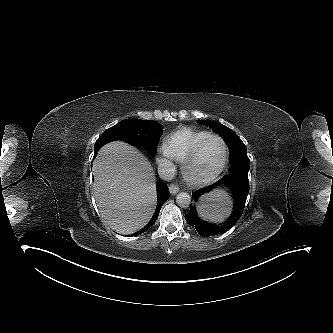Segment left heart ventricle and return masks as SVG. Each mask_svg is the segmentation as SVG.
<instances>
[{
  "label": "left heart ventricle",
  "mask_w": 333,
  "mask_h": 333,
  "mask_svg": "<svg viewBox=\"0 0 333 333\" xmlns=\"http://www.w3.org/2000/svg\"><path fill=\"white\" fill-rule=\"evenodd\" d=\"M223 156V144L217 139H211L203 146L198 157L191 163L190 172L196 177H207L220 166Z\"/></svg>",
  "instance_id": "1"
}]
</instances>
